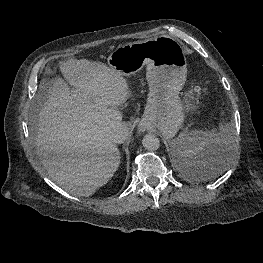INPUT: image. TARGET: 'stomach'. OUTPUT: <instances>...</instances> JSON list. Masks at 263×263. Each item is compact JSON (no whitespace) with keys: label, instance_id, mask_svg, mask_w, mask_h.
Here are the masks:
<instances>
[{"label":"stomach","instance_id":"stomach-1","mask_svg":"<svg viewBox=\"0 0 263 263\" xmlns=\"http://www.w3.org/2000/svg\"><path fill=\"white\" fill-rule=\"evenodd\" d=\"M108 64L125 77L146 65L149 94L142 124L158 128L164 137L171 139L185 117L179 96L187 77L182 45L169 36L120 45L110 53Z\"/></svg>","mask_w":263,"mask_h":263}]
</instances>
